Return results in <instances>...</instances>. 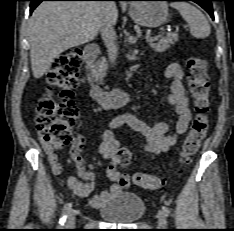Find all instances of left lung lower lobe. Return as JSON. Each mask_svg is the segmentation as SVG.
Segmentation results:
<instances>
[{
    "instance_id": "1",
    "label": "left lung lower lobe",
    "mask_w": 234,
    "mask_h": 231,
    "mask_svg": "<svg viewBox=\"0 0 234 231\" xmlns=\"http://www.w3.org/2000/svg\"><path fill=\"white\" fill-rule=\"evenodd\" d=\"M166 1H194L197 4H199L202 8H204L210 14L212 19H214L211 1H216V0H166Z\"/></svg>"
}]
</instances>
